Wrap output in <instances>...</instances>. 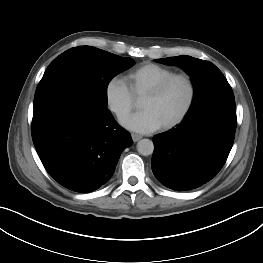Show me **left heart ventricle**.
I'll return each mask as SVG.
<instances>
[{"label": "left heart ventricle", "mask_w": 263, "mask_h": 263, "mask_svg": "<svg viewBox=\"0 0 263 263\" xmlns=\"http://www.w3.org/2000/svg\"><path fill=\"white\" fill-rule=\"evenodd\" d=\"M188 86L181 79L174 80L157 97H142L141 109L152 110L162 124L173 119L184 107L188 99Z\"/></svg>", "instance_id": "obj_1"}]
</instances>
